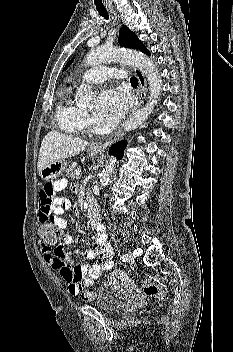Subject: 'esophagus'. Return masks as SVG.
<instances>
[{
	"label": "esophagus",
	"instance_id": "esophagus-1",
	"mask_svg": "<svg viewBox=\"0 0 233 352\" xmlns=\"http://www.w3.org/2000/svg\"><path fill=\"white\" fill-rule=\"evenodd\" d=\"M111 13L115 16V13L112 10H111ZM133 71L135 76L138 79V90H137L138 101L136 105L130 110V114L136 111L143 104L147 95V84L143 73L138 68H135V67L133 68ZM122 135H123V125L119 127L118 130L105 141L92 143L91 148L106 149L115 141H117Z\"/></svg>",
	"mask_w": 233,
	"mask_h": 352
}]
</instances>
